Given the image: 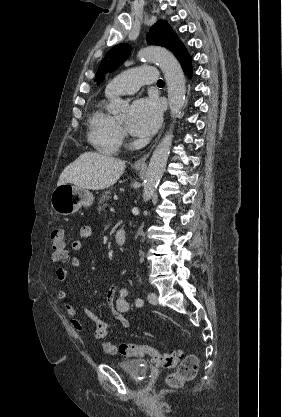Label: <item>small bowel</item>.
<instances>
[{
	"label": "small bowel",
	"mask_w": 282,
	"mask_h": 417,
	"mask_svg": "<svg viewBox=\"0 0 282 417\" xmlns=\"http://www.w3.org/2000/svg\"><path fill=\"white\" fill-rule=\"evenodd\" d=\"M78 240L72 244V249L75 252H81L83 249V242L88 241L93 236L92 227L89 225L82 226L78 231ZM80 259L73 257L69 261V267L76 269L80 267ZM56 278L63 285L61 289L57 291V298L65 300L70 294L68 286V269L66 267H59L56 270ZM107 301L109 304L114 305V316L118 325L123 327H129L130 323L126 318V314L129 311L130 305L128 302V289L120 285H112L107 292ZM64 309L69 317L72 328L81 333L84 330L82 321L77 316L75 307L70 303H65ZM82 309L87 318L94 325V338L106 339L115 332V324L111 321L104 320L96 315L92 310L82 306Z\"/></svg>",
	"instance_id": "1"
}]
</instances>
